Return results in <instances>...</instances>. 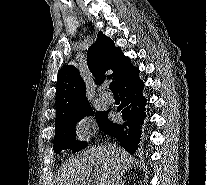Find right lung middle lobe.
<instances>
[{"instance_id":"1","label":"right lung middle lobe","mask_w":207,"mask_h":185,"mask_svg":"<svg viewBox=\"0 0 207 185\" xmlns=\"http://www.w3.org/2000/svg\"><path fill=\"white\" fill-rule=\"evenodd\" d=\"M110 110L97 112L95 113L96 121L98 123L99 128L109 120L108 113ZM93 111L86 112L81 114L72 120H70L67 124L55 128V136H54V151L59 154L63 149H71L73 152L80 151L87 147L86 142H80L75 139V125L76 123L85 116L92 115Z\"/></svg>"}]
</instances>
